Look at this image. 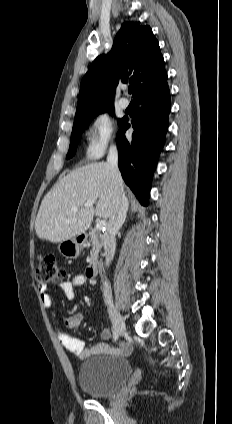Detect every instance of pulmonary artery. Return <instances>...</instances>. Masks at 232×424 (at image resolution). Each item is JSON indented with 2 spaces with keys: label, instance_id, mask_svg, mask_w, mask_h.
Wrapping results in <instances>:
<instances>
[{
  "label": "pulmonary artery",
  "instance_id": "obj_1",
  "mask_svg": "<svg viewBox=\"0 0 232 424\" xmlns=\"http://www.w3.org/2000/svg\"><path fill=\"white\" fill-rule=\"evenodd\" d=\"M119 106H120L122 109H126V108H128V106H129V100H128L127 98H125V97H122V98L119 100Z\"/></svg>",
  "mask_w": 232,
  "mask_h": 424
}]
</instances>
